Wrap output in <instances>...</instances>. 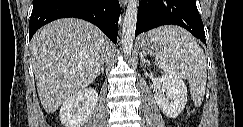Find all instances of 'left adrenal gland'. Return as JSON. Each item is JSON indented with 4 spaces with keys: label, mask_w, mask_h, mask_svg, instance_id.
<instances>
[{
    "label": "left adrenal gland",
    "mask_w": 243,
    "mask_h": 127,
    "mask_svg": "<svg viewBox=\"0 0 243 127\" xmlns=\"http://www.w3.org/2000/svg\"><path fill=\"white\" fill-rule=\"evenodd\" d=\"M140 60L143 64H149V62L145 59L144 54L140 53Z\"/></svg>",
    "instance_id": "left-adrenal-gland-1"
}]
</instances>
